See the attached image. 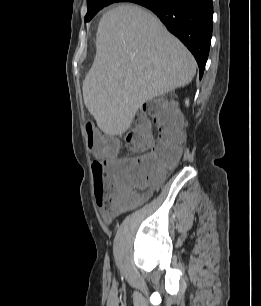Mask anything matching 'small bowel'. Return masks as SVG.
I'll use <instances>...</instances> for the list:
<instances>
[{"mask_svg": "<svg viewBox=\"0 0 261 306\" xmlns=\"http://www.w3.org/2000/svg\"><path fill=\"white\" fill-rule=\"evenodd\" d=\"M112 158L113 157H107V158L101 160V163L104 164L105 166H109L112 163ZM118 159H123V158H118ZM149 195H150V191L146 192L142 197L143 198H147V197H149ZM101 215H102V218L105 221H110L112 219V215L110 213H108V212L103 211L101 213Z\"/></svg>", "mask_w": 261, "mask_h": 306, "instance_id": "1", "label": "small bowel"}]
</instances>
